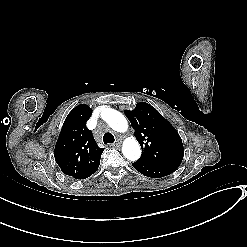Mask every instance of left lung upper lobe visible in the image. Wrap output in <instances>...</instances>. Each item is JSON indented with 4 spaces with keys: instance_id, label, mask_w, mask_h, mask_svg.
Masks as SVG:
<instances>
[{
    "instance_id": "1",
    "label": "left lung upper lobe",
    "mask_w": 247,
    "mask_h": 247,
    "mask_svg": "<svg viewBox=\"0 0 247 247\" xmlns=\"http://www.w3.org/2000/svg\"><path fill=\"white\" fill-rule=\"evenodd\" d=\"M125 115L141 145L138 161L150 162L175 171L183 160L184 148L176 129L154 107L140 102Z\"/></svg>"
}]
</instances>
